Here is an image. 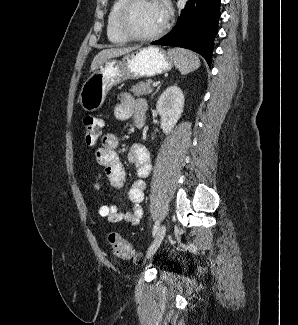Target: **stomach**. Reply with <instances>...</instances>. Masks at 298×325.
Instances as JSON below:
<instances>
[{
    "instance_id": "0dacf381",
    "label": "stomach",
    "mask_w": 298,
    "mask_h": 325,
    "mask_svg": "<svg viewBox=\"0 0 298 325\" xmlns=\"http://www.w3.org/2000/svg\"><path fill=\"white\" fill-rule=\"evenodd\" d=\"M174 64L173 58L161 46H142L122 58H109L88 76L79 92V102L88 112L101 108L113 86L124 80L152 78L156 74L169 72Z\"/></svg>"
}]
</instances>
